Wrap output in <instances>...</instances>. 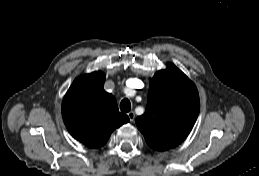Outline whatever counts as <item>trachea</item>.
Here are the masks:
<instances>
[{"mask_svg": "<svg viewBox=\"0 0 259 176\" xmlns=\"http://www.w3.org/2000/svg\"><path fill=\"white\" fill-rule=\"evenodd\" d=\"M120 109L123 112H129L131 110V103L128 99H123L120 103Z\"/></svg>", "mask_w": 259, "mask_h": 176, "instance_id": "3493384b", "label": "trachea"}]
</instances>
